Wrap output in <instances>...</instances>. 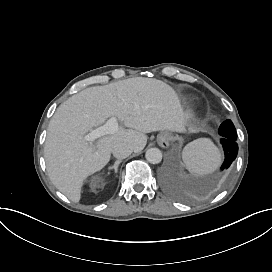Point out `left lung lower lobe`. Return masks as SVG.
Here are the masks:
<instances>
[{"label":"left lung lower lobe","mask_w":272,"mask_h":272,"mask_svg":"<svg viewBox=\"0 0 272 272\" xmlns=\"http://www.w3.org/2000/svg\"><path fill=\"white\" fill-rule=\"evenodd\" d=\"M221 143L224 148L225 153V161L221 167V169H227L231 163L235 160L238 153V145L236 143V139L228 138L222 136Z\"/></svg>","instance_id":"0a47b994"}]
</instances>
